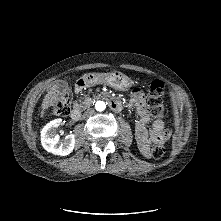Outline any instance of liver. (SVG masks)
<instances>
[{"instance_id": "6515ba94", "label": "liver", "mask_w": 221, "mask_h": 221, "mask_svg": "<svg viewBox=\"0 0 221 221\" xmlns=\"http://www.w3.org/2000/svg\"><path fill=\"white\" fill-rule=\"evenodd\" d=\"M60 95H61V92L58 88V84H54L50 88L48 93L46 94L45 98L43 99L42 106H41L42 108L41 117L44 116V113L48 108H50L51 106H54L55 104L59 102Z\"/></svg>"}]
</instances>
